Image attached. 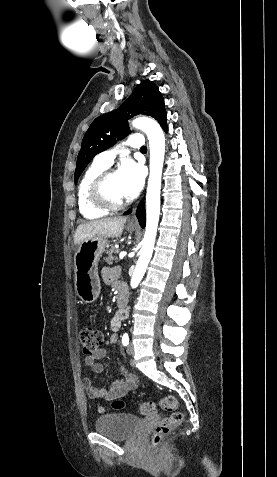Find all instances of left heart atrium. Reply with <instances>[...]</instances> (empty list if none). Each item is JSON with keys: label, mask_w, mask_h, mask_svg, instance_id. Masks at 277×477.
Here are the masks:
<instances>
[{"label": "left heart atrium", "mask_w": 277, "mask_h": 477, "mask_svg": "<svg viewBox=\"0 0 277 477\" xmlns=\"http://www.w3.org/2000/svg\"><path fill=\"white\" fill-rule=\"evenodd\" d=\"M117 174L124 197L133 198L137 196L144 184L145 172L143 167L133 160H125Z\"/></svg>", "instance_id": "left-heart-atrium-1"}]
</instances>
